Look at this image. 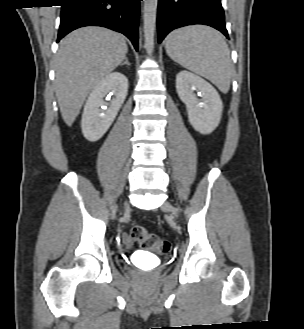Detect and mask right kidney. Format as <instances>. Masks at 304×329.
I'll return each mask as SVG.
<instances>
[{"instance_id": "right-kidney-1", "label": "right kidney", "mask_w": 304, "mask_h": 329, "mask_svg": "<svg viewBox=\"0 0 304 329\" xmlns=\"http://www.w3.org/2000/svg\"><path fill=\"white\" fill-rule=\"evenodd\" d=\"M127 93L128 79L120 72L110 73L95 86L86 101L81 120L82 133L87 140L95 142L106 133ZM108 94L114 96L109 104L104 101Z\"/></svg>"}]
</instances>
